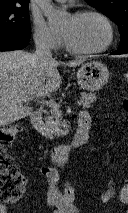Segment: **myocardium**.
I'll return each instance as SVG.
<instances>
[{
    "label": "myocardium",
    "instance_id": "f54148a6",
    "mask_svg": "<svg viewBox=\"0 0 128 213\" xmlns=\"http://www.w3.org/2000/svg\"><path fill=\"white\" fill-rule=\"evenodd\" d=\"M85 16H96L105 23L108 30V37L106 42L101 47L96 49H89V50L79 49L74 47L66 38V36L63 34V40H64V45L66 50L75 55H94V54H98V53H102L106 51L113 44L115 39V28H114L113 22L106 14L94 9H83V10L76 11L72 15V18L77 19V18H82Z\"/></svg>",
    "mask_w": 128,
    "mask_h": 213
}]
</instances>
